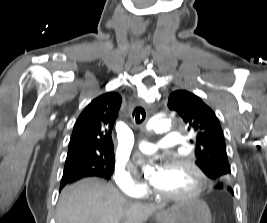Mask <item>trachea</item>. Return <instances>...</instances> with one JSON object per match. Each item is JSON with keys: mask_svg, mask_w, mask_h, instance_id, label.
Listing matches in <instances>:
<instances>
[{"mask_svg": "<svg viewBox=\"0 0 267 223\" xmlns=\"http://www.w3.org/2000/svg\"><path fill=\"white\" fill-rule=\"evenodd\" d=\"M137 124H141L146 118V112L142 107H136L132 114Z\"/></svg>", "mask_w": 267, "mask_h": 223, "instance_id": "trachea-1", "label": "trachea"}]
</instances>
